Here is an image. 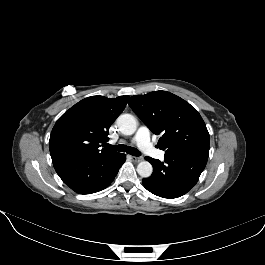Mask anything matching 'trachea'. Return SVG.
<instances>
[{
	"label": "trachea",
	"mask_w": 265,
	"mask_h": 265,
	"mask_svg": "<svg viewBox=\"0 0 265 265\" xmlns=\"http://www.w3.org/2000/svg\"><path fill=\"white\" fill-rule=\"evenodd\" d=\"M105 147L109 148L111 150H114V151H118V152H126L130 155H133V156H140L141 155V153L137 149H135L133 147H128V146L123 145V144H120L117 146H112L110 144H106Z\"/></svg>",
	"instance_id": "trachea-1"
}]
</instances>
